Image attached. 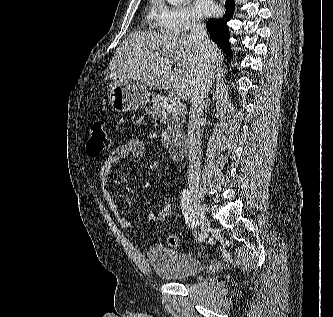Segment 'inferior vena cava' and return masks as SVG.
Returning <instances> with one entry per match:
<instances>
[{
  "label": "inferior vena cava",
  "mask_w": 333,
  "mask_h": 317,
  "mask_svg": "<svg viewBox=\"0 0 333 317\" xmlns=\"http://www.w3.org/2000/svg\"><path fill=\"white\" fill-rule=\"evenodd\" d=\"M191 36L203 52L207 54L204 61V70L197 77L192 95L188 119V148L189 168L188 185L190 188L199 189L201 173V133L200 118L205 104V98L210 89L215 69V59L210 51V39L204 25L199 22L191 24Z\"/></svg>",
  "instance_id": "inferior-vena-cava-1"
}]
</instances>
